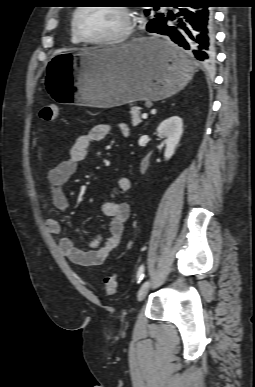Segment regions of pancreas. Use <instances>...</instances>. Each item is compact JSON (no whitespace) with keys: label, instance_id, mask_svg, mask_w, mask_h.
<instances>
[{"label":"pancreas","instance_id":"1","mask_svg":"<svg viewBox=\"0 0 255 387\" xmlns=\"http://www.w3.org/2000/svg\"><path fill=\"white\" fill-rule=\"evenodd\" d=\"M140 107H132L131 108V111H130V114H131V123L133 126H138L142 120L140 118Z\"/></svg>","mask_w":255,"mask_h":387}]
</instances>
